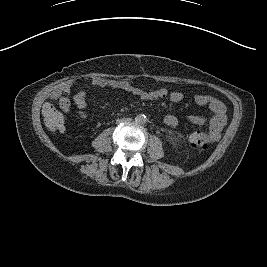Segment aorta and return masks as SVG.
<instances>
[{
    "instance_id": "aorta-1",
    "label": "aorta",
    "mask_w": 267,
    "mask_h": 267,
    "mask_svg": "<svg viewBox=\"0 0 267 267\" xmlns=\"http://www.w3.org/2000/svg\"><path fill=\"white\" fill-rule=\"evenodd\" d=\"M135 120H136V122H137L138 124H145L146 121H147V118H146L145 115H143V114H139V115L136 116Z\"/></svg>"
}]
</instances>
